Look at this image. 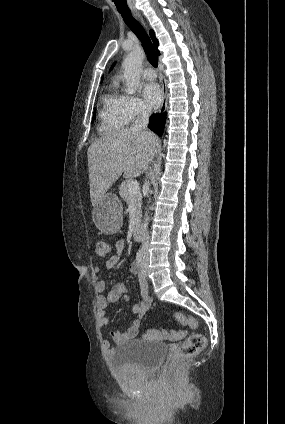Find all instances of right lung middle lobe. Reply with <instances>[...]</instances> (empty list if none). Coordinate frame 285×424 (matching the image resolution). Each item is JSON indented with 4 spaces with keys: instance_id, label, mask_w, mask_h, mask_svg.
<instances>
[{
    "instance_id": "obj_1",
    "label": "right lung middle lobe",
    "mask_w": 285,
    "mask_h": 424,
    "mask_svg": "<svg viewBox=\"0 0 285 424\" xmlns=\"http://www.w3.org/2000/svg\"><path fill=\"white\" fill-rule=\"evenodd\" d=\"M95 114H96V111H94V116H93L92 122H93V121H94V119H95Z\"/></svg>"
}]
</instances>
